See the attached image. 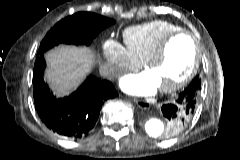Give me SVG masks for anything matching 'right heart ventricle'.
Instances as JSON below:
<instances>
[{
	"instance_id": "1",
	"label": "right heart ventricle",
	"mask_w": 240,
	"mask_h": 160,
	"mask_svg": "<svg viewBox=\"0 0 240 160\" xmlns=\"http://www.w3.org/2000/svg\"><path fill=\"white\" fill-rule=\"evenodd\" d=\"M178 30V25L165 20L132 26L123 31L124 46L131 58L141 64L165 36Z\"/></svg>"
}]
</instances>
